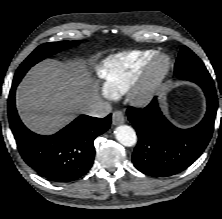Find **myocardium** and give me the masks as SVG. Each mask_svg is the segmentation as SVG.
<instances>
[{
	"instance_id": "1",
	"label": "myocardium",
	"mask_w": 222,
	"mask_h": 219,
	"mask_svg": "<svg viewBox=\"0 0 222 219\" xmlns=\"http://www.w3.org/2000/svg\"><path fill=\"white\" fill-rule=\"evenodd\" d=\"M170 68L171 58L163 53L157 54L129 90L130 100L138 104L148 101L164 82Z\"/></svg>"
}]
</instances>
